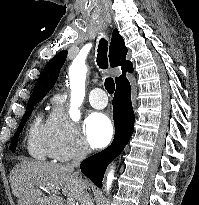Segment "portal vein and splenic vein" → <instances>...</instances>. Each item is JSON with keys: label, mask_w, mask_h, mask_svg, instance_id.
Returning a JSON list of instances; mask_svg holds the SVG:
<instances>
[{"label": "portal vein and splenic vein", "mask_w": 199, "mask_h": 205, "mask_svg": "<svg viewBox=\"0 0 199 205\" xmlns=\"http://www.w3.org/2000/svg\"><path fill=\"white\" fill-rule=\"evenodd\" d=\"M57 194H59V192H56ZM67 204L68 205H75V201L72 199H67Z\"/></svg>", "instance_id": "portal-vein-and-splenic-vein-1"}]
</instances>
